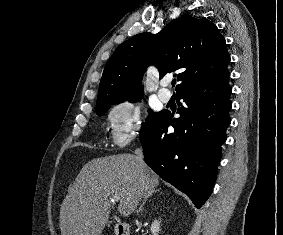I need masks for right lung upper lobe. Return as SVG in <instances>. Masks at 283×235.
Here are the masks:
<instances>
[{
  "label": "right lung upper lobe",
  "mask_w": 283,
  "mask_h": 235,
  "mask_svg": "<svg viewBox=\"0 0 283 235\" xmlns=\"http://www.w3.org/2000/svg\"><path fill=\"white\" fill-rule=\"evenodd\" d=\"M229 62L216 25L185 14L155 35L137 34L118 46L105 66L97 103L142 97L141 79L150 64L158 68L160 78L177 71L178 92L222 75Z\"/></svg>",
  "instance_id": "1"
}]
</instances>
